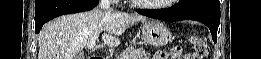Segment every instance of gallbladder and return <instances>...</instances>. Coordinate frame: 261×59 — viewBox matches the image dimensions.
Here are the masks:
<instances>
[{"label": "gallbladder", "mask_w": 261, "mask_h": 59, "mask_svg": "<svg viewBox=\"0 0 261 59\" xmlns=\"http://www.w3.org/2000/svg\"><path fill=\"white\" fill-rule=\"evenodd\" d=\"M84 57L82 55H77L76 59H83Z\"/></svg>", "instance_id": "obj_1"}]
</instances>
